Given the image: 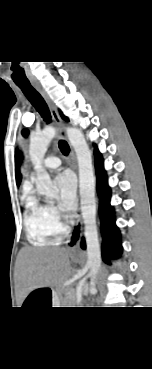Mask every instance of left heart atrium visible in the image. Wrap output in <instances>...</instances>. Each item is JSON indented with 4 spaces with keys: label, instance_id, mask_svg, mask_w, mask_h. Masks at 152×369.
Segmentation results:
<instances>
[{
    "label": "left heart atrium",
    "instance_id": "obj_1",
    "mask_svg": "<svg viewBox=\"0 0 152 369\" xmlns=\"http://www.w3.org/2000/svg\"><path fill=\"white\" fill-rule=\"evenodd\" d=\"M55 184L60 195V207L63 211L72 212L76 208V181L70 172L59 174L55 179Z\"/></svg>",
    "mask_w": 152,
    "mask_h": 369
}]
</instances>
